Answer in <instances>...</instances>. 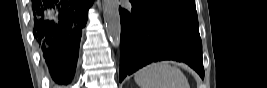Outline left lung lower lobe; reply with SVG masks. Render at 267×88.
<instances>
[{
  "mask_svg": "<svg viewBox=\"0 0 267 88\" xmlns=\"http://www.w3.org/2000/svg\"><path fill=\"white\" fill-rule=\"evenodd\" d=\"M119 13L120 82L139 68L161 60L185 62L204 77L198 22L146 14L134 4L131 12L120 7Z\"/></svg>",
  "mask_w": 267,
  "mask_h": 88,
  "instance_id": "0a47b994",
  "label": "left lung lower lobe"
}]
</instances>
